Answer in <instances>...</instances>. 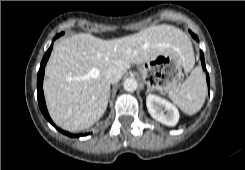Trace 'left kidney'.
I'll return each mask as SVG.
<instances>
[{
    "label": "left kidney",
    "mask_w": 245,
    "mask_h": 170,
    "mask_svg": "<svg viewBox=\"0 0 245 170\" xmlns=\"http://www.w3.org/2000/svg\"><path fill=\"white\" fill-rule=\"evenodd\" d=\"M146 105L150 115L158 122L167 126H175L179 121L178 109L167 100L153 94L146 98ZM166 113H164V110Z\"/></svg>",
    "instance_id": "obj_1"
}]
</instances>
